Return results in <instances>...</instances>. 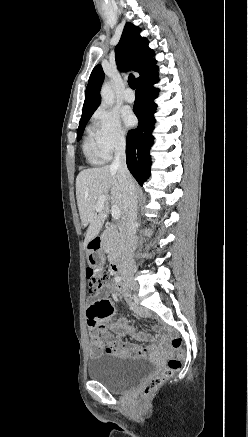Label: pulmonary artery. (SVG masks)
<instances>
[{
	"mask_svg": "<svg viewBox=\"0 0 248 437\" xmlns=\"http://www.w3.org/2000/svg\"><path fill=\"white\" fill-rule=\"evenodd\" d=\"M124 99L126 102H133L135 100V95L131 89H126L124 92Z\"/></svg>",
	"mask_w": 248,
	"mask_h": 437,
	"instance_id": "obj_1",
	"label": "pulmonary artery"
}]
</instances>
